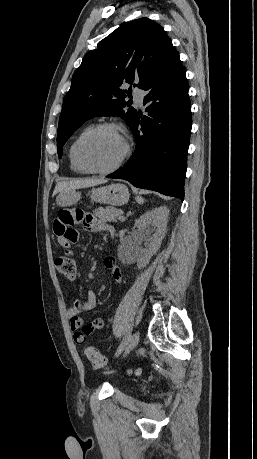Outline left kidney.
Wrapping results in <instances>:
<instances>
[{
  "label": "left kidney",
  "instance_id": "5707ae66",
  "mask_svg": "<svg viewBox=\"0 0 257 459\" xmlns=\"http://www.w3.org/2000/svg\"><path fill=\"white\" fill-rule=\"evenodd\" d=\"M169 210L166 206H160L145 212L135 221V240L141 242L148 240L146 248L134 245L138 267L146 266L151 257L160 248L161 242L166 234Z\"/></svg>",
  "mask_w": 257,
  "mask_h": 459
}]
</instances>
